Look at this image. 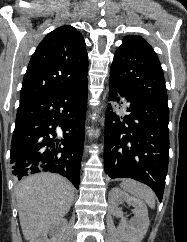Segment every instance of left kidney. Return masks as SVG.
Segmentation results:
<instances>
[{
	"label": "left kidney",
	"instance_id": "1",
	"mask_svg": "<svg viewBox=\"0 0 187 242\" xmlns=\"http://www.w3.org/2000/svg\"><path fill=\"white\" fill-rule=\"evenodd\" d=\"M109 208L111 213L121 218L118 226V232L127 242H140L149 227L148 210L143 201L131 197L119 188H113L109 192ZM126 202L134 207V217L130 221H126L122 216L119 204Z\"/></svg>",
	"mask_w": 187,
	"mask_h": 242
}]
</instances>
